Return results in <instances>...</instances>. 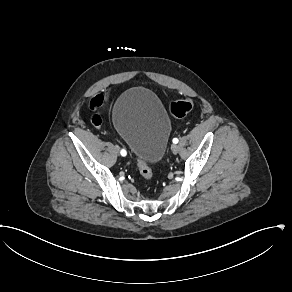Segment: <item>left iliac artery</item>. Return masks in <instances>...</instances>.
<instances>
[{
  "mask_svg": "<svg viewBox=\"0 0 292 292\" xmlns=\"http://www.w3.org/2000/svg\"><path fill=\"white\" fill-rule=\"evenodd\" d=\"M172 141H173V143L177 144L179 140L177 138H173Z\"/></svg>",
  "mask_w": 292,
  "mask_h": 292,
  "instance_id": "1",
  "label": "left iliac artery"
}]
</instances>
